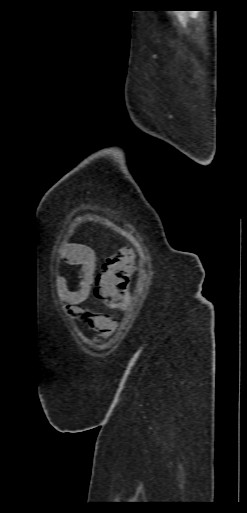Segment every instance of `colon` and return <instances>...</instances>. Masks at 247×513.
Masks as SVG:
<instances>
[{"label": "colon", "mask_w": 247, "mask_h": 513, "mask_svg": "<svg viewBox=\"0 0 247 513\" xmlns=\"http://www.w3.org/2000/svg\"><path fill=\"white\" fill-rule=\"evenodd\" d=\"M135 267L130 251H120L106 257L94 278L95 297L112 309L121 308L128 296L129 281Z\"/></svg>", "instance_id": "colon-1"}]
</instances>
